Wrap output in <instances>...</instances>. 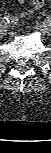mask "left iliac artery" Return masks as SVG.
<instances>
[{
  "instance_id": "1",
  "label": "left iliac artery",
  "mask_w": 51,
  "mask_h": 153,
  "mask_svg": "<svg viewBox=\"0 0 51 153\" xmlns=\"http://www.w3.org/2000/svg\"><path fill=\"white\" fill-rule=\"evenodd\" d=\"M46 20H47V22H48L49 24H51V16H48V17L46 18Z\"/></svg>"
}]
</instances>
